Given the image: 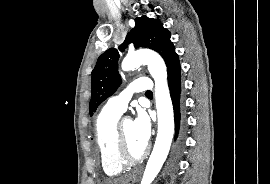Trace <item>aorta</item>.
Instances as JSON below:
<instances>
[{
    "label": "aorta",
    "instance_id": "obj_1",
    "mask_svg": "<svg viewBox=\"0 0 270 184\" xmlns=\"http://www.w3.org/2000/svg\"><path fill=\"white\" fill-rule=\"evenodd\" d=\"M146 64L155 81V100L158 114V132L151 156L147 162L141 184H151L170 150L174 134L173 106L167 84V68L162 57L153 51L129 53L122 61L124 71Z\"/></svg>",
    "mask_w": 270,
    "mask_h": 184
}]
</instances>
